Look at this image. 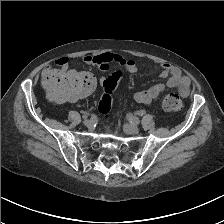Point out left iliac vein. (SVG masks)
<instances>
[{
  "label": "left iliac vein",
  "mask_w": 224,
  "mask_h": 224,
  "mask_svg": "<svg viewBox=\"0 0 224 224\" xmlns=\"http://www.w3.org/2000/svg\"><path fill=\"white\" fill-rule=\"evenodd\" d=\"M123 129L127 134H137L139 132V128L134 124H124Z\"/></svg>",
  "instance_id": "4c4485c4"
}]
</instances>
